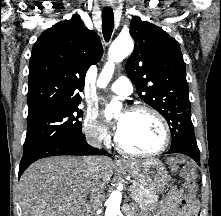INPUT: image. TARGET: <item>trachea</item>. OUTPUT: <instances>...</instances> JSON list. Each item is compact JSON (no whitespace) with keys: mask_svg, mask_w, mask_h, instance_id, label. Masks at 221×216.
<instances>
[{"mask_svg":"<svg viewBox=\"0 0 221 216\" xmlns=\"http://www.w3.org/2000/svg\"><path fill=\"white\" fill-rule=\"evenodd\" d=\"M102 26H103V36L106 42L110 40V37L114 28V15L113 11H103L102 12Z\"/></svg>","mask_w":221,"mask_h":216,"instance_id":"3493384b","label":"trachea"}]
</instances>
